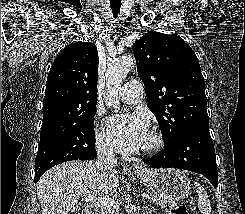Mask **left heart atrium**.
I'll list each match as a JSON object with an SVG mask.
<instances>
[{
  "label": "left heart atrium",
  "instance_id": "1",
  "mask_svg": "<svg viewBox=\"0 0 245 214\" xmlns=\"http://www.w3.org/2000/svg\"><path fill=\"white\" fill-rule=\"evenodd\" d=\"M107 126L113 145L123 153L138 151L149 135L148 122L139 114L112 116Z\"/></svg>",
  "mask_w": 245,
  "mask_h": 214
}]
</instances>
